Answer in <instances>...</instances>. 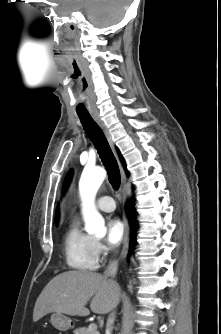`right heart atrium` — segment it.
Instances as JSON below:
<instances>
[{"instance_id":"d8ad5b80","label":"right heart atrium","mask_w":221,"mask_h":334,"mask_svg":"<svg viewBox=\"0 0 221 334\" xmlns=\"http://www.w3.org/2000/svg\"><path fill=\"white\" fill-rule=\"evenodd\" d=\"M96 249L99 255H105L106 254V247L99 241H96Z\"/></svg>"}]
</instances>
